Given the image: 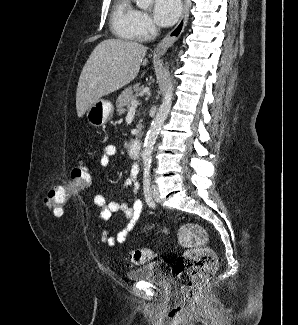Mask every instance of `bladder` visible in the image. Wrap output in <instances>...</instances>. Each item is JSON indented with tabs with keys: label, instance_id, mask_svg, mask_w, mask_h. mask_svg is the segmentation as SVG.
I'll return each mask as SVG.
<instances>
[{
	"label": "bladder",
	"instance_id": "31cf9c89",
	"mask_svg": "<svg viewBox=\"0 0 298 325\" xmlns=\"http://www.w3.org/2000/svg\"><path fill=\"white\" fill-rule=\"evenodd\" d=\"M133 282H147L156 285L166 291H172L174 283L163 266L157 262H151L130 270L126 274Z\"/></svg>",
	"mask_w": 298,
	"mask_h": 325
}]
</instances>
